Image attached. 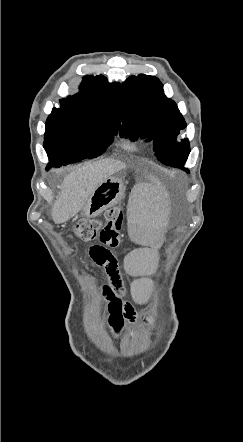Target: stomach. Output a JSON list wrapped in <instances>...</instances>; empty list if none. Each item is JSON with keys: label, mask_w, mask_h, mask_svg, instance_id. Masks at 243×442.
<instances>
[{"label": "stomach", "mask_w": 243, "mask_h": 442, "mask_svg": "<svg viewBox=\"0 0 243 442\" xmlns=\"http://www.w3.org/2000/svg\"><path fill=\"white\" fill-rule=\"evenodd\" d=\"M125 194L123 181L115 176L106 178L81 209V216L91 218L117 204Z\"/></svg>", "instance_id": "0dacf381"}]
</instances>
